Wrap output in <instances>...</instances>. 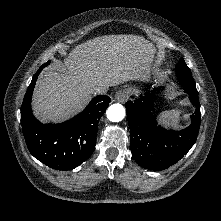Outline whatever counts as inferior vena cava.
<instances>
[{
  "mask_svg": "<svg viewBox=\"0 0 221 221\" xmlns=\"http://www.w3.org/2000/svg\"><path fill=\"white\" fill-rule=\"evenodd\" d=\"M96 93H98V94H103V93H105V90H103V89H101V88H98V89L96 90Z\"/></svg>",
  "mask_w": 221,
  "mask_h": 221,
  "instance_id": "1",
  "label": "inferior vena cava"
}]
</instances>
